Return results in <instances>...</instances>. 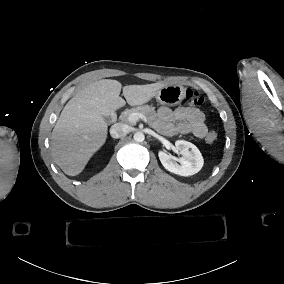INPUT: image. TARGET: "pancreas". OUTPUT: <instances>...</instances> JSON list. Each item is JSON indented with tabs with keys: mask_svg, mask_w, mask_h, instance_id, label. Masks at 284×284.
<instances>
[{
	"mask_svg": "<svg viewBox=\"0 0 284 284\" xmlns=\"http://www.w3.org/2000/svg\"><path fill=\"white\" fill-rule=\"evenodd\" d=\"M132 113H141L145 115L149 122L153 121L156 118V112L154 108L150 107L149 105H143L127 109L124 112H122L120 115L121 121L127 122L129 115Z\"/></svg>",
	"mask_w": 284,
	"mask_h": 284,
	"instance_id": "1",
	"label": "pancreas"
}]
</instances>
